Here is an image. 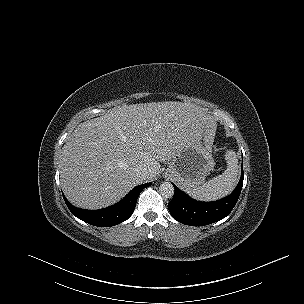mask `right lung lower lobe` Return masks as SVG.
I'll use <instances>...</instances> for the list:
<instances>
[{
	"instance_id": "obj_1",
	"label": "right lung lower lobe",
	"mask_w": 304,
	"mask_h": 304,
	"mask_svg": "<svg viewBox=\"0 0 304 304\" xmlns=\"http://www.w3.org/2000/svg\"><path fill=\"white\" fill-rule=\"evenodd\" d=\"M151 183L143 184L133 188L118 203L101 210H84L76 208L64 197L65 203L71 213L77 218L94 226L109 227L127 220L134 211L139 194Z\"/></svg>"
}]
</instances>
